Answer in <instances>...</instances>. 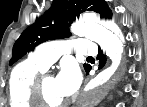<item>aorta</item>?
Here are the masks:
<instances>
[{
  "instance_id": "obj_1",
  "label": "aorta",
  "mask_w": 147,
  "mask_h": 107,
  "mask_svg": "<svg viewBox=\"0 0 147 107\" xmlns=\"http://www.w3.org/2000/svg\"><path fill=\"white\" fill-rule=\"evenodd\" d=\"M71 32L79 37H85L97 42L106 55L112 60V65L103 70L86 87L82 96V103L85 107L97 105L111 88V80L116 76L117 63L121 60L124 43L121 33L114 23H96L93 20L85 19L74 23Z\"/></svg>"
}]
</instances>
